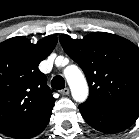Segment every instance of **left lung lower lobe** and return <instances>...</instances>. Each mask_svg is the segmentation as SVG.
<instances>
[{"mask_svg":"<svg viewBox=\"0 0 139 139\" xmlns=\"http://www.w3.org/2000/svg\"><path fill=\"white\" fill-rule=\"evenodd\" d=\"M84 120L93 128L105 133H118L131 126L139 117V105L119 109H96L79 105Z\"/></svg>","mask_w":139,"mask_h":139,"instance_id":"left-lung-lower-lobe-1","label":"left lung lower lobe"}]
</instances>
